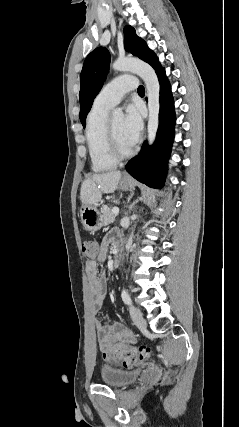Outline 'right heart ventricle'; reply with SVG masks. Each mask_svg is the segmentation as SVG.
<instances>
[{"instance_id": "e07e8e85", "label": "right heart ventricle", "mask_w": 239, "mask_h": 427, "mask_svg": "<svg viewBox=\"0 0 239 427\" xmlns=\"http://www.w3.org/2000/svg\"><path fill=\"white\" fill-rule=\"evenodd\" d=\"M109 107L93 105L86 121V141L91 159L92 169L103 172L112 169L115 161L108 152L106 126Z\"/></svg>"}]
</instances>
